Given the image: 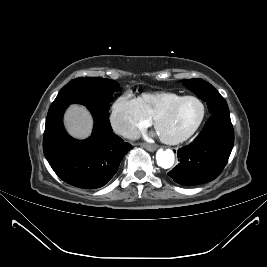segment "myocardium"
<instances>
[{"mask_svg":"<svg viewBox=\"0 0 267 267\" xmlns=\"http://www.w3.org/2000/svg\"><path fill=\"white\" fill-rule=\"evenodd\" d=\"M188 100H195V101L199 102L201 105L202 111H201V115H200L198 121L195 123V125L188 132H186L182 136L170 138V137H165V136L160 135V138L164 143L169 144V145H177V144L183 143L186 140H188L190 137H192L197 132V130L200 128V126L202 125V123L205 119V116H206V111H207L206 105L200 97H197L194 95H187V96H183L179 100L173 102L172 104H170L169 106L165 107L164 109L160 110L158 113L155 114V116L153 117V125H154L155 129L157 130V126L159 124V121L162 118H164L165 116L172 113L177 107H179L182 103H184L185 101H188Z\"/></svg>","mask_w":267,"mask_h":267,"instance_id":"f54148a6","label":"myocardium"}]
</instances>
